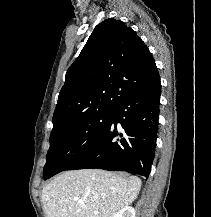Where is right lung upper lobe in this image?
<instances>
[{
  "mask_svg": "<svg viewBox=\"0 0 211 217\" xmlns=\"http://www.w3.org/2000/svg\"><path fill=\"white\" fill-rule=\"evenodd\" d=\"M155 61L124 22L98 24L69 67L53 114V128L77 116L114 110L133 90L158 77Z\"/></svg>",
  "mask_w": 211,
  "mask_h": 217,
  "instance_id": "1",
  "label": "right lung upper lobe"
}]
</instances>
